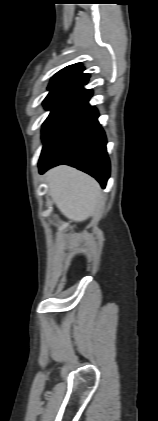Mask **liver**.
<instances>
[{
	"instance_id": "6515ba94",
	"label": "liver",
	"mask_w": 158,
	"mask_h": 421,
	"mask_svg": "<svg viewBox=\"0 0 158 421\" xmlns=\"http://www.w3.org/2000/svg\"><path fill=\"white\" fill-rule=\"evenodd\" d=\"M46 181L57 208L74 222L88 219L102 198L100 186L92 177L68 166L48 171Z\"/></svg>"
}]
</instances>
